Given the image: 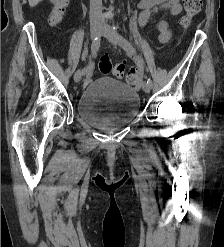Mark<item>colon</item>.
<instances>
[{
	"instance_id": "5ec220e1",
	"label": "colon",
	"mask_w": 224,
	"mask_h": 247,
	"mask_svg": "<svg viewBox=\"0 0 224 247\" xmlns=\"http://www.w3.org/2000/svg\"><path fill=\"white\" fill-rule=\"evenodd\" d=\"M53 9L51 13V21L56 23L62 17L69 0H51ZM184 14L181 17V26L183 29H187L194 18L202 9V0H183ZM99 70L102 74L112 73L114 76L121 78L124 76L125 66L121 63L112 65V61L107 54H104L99 59ZM127 82L130 84H136L138 82V76L135 72L129 71L126 76Z\"/></svg>"
}]
</instances>
